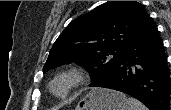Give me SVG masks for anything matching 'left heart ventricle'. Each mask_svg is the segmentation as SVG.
I'll return each mask as SVG.
<instances>
[{"mask_svg": "<svg viewBox=\"0 0 171 110\" xmlns=\"http://www.w3.org/2000/svg\"><path fill=\"white\" fill-rule=\"evenodd\" d=\"M54 88H55L56 92H61L64 88V84L63 83H57Z\"/></svg>", "mask_w": 171, "mask_h": 110, "instance_id": "obj_1", "label": "left heart ventricle"}]
</instances>
